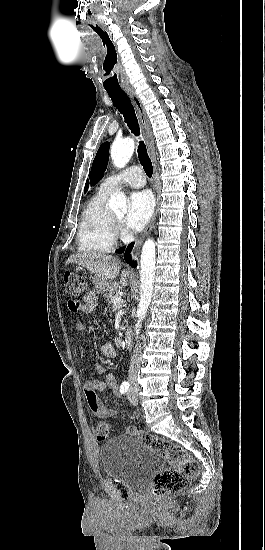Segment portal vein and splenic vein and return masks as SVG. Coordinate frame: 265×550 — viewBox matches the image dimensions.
<instances>
[{
	"label": "portal vein and splenic vein",
	"instance_id": "obj_1",
	"mask_svg": "<svg viewBox=\"0 0 265 550\" xmlns=\"http://www.w3.org/2000/svg\"><path fill=\"white\" fill-rule=\"evenodd\" d=\"M113 304H114V306H116V307H120V306H122V304H123V300H122L121 297H119V296L114 297V298H113Z\"/></svg>",
	"mask_w": 265,
	"mask_h": 550
}]
</instances>
